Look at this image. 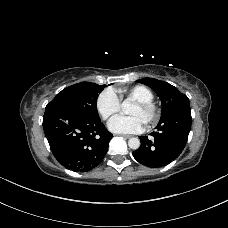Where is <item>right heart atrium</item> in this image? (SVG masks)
I'll return each mask as SVG.
<instances>
[{
    "instance_id": "obj_1",
    "label": "right heart atrium",
    "mask_w": 228,
    "mask_h": 228,
    "mask_svg": "<svg viewBox=\"0 0 228 228\" xmlns=\"http://www.w3.org/2000/svg\"><path fill=\"white\" fill-rule=\"evenodd\" d=\"M96 109L104 120L116 114L120 109L117 92L111 88L104 89L96 99Z\"/></svg>"
}]
</instances>
